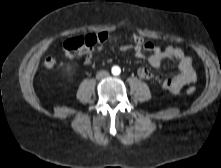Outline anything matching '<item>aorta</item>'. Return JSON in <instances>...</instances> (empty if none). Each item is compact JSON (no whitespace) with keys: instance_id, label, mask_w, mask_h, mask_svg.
I'll use <instances>...</instances> for the list:
<instances>
[{"instance_id":"obj_1","label":"aorta","mask_w":221,"mask_h":168,"mask_svg":"<svg viewBox=\"0 0 221 168\" xmlns=\"http://www.w3.org/2000/svg\"><path fill=\"white\" fill-rule=\"evenodd\" d=\"M112 73H113L114 75H118V74L120 73V68H119V67H113V68H112Z\"/></svg>"}]
</instances>
